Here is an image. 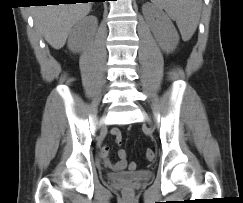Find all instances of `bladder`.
Masks as SVG:
<instances>
[{"label": "bladder", "mask_w": 243, "mask_h": 203, "mask_svg": "<svg viewBox=\"0 0 243 203\" xmlns=\"http://www.w3.org/2000/svg\"><path fill=\"white\" fill-rule=\"evenodd\" d=\"M107 177L111 182H141L150 180L152 178V171L109 172Z\"/></svg>", "instance_id": "1"}]
</instances>
